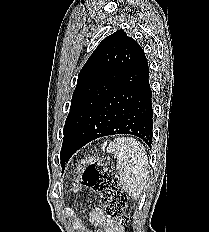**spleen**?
Segmentation results:
<instances>
[{
  "label": "spleen",
  "instance_id": "1",
  "mask_svg": "<svg viewBox=\"0 0 209 232\" xmlns=\"http://www.w3.org/2000/svg\"><path fill=\"white\" fill-rule=\"evenodd\" d=\"M117 156L118 179L133 199H138L148 176V157L143 144L130 137H118L107 148Z\"/></svg>",
  "mask_w": 209,
  "mask_h": 232
}]
</instances>
